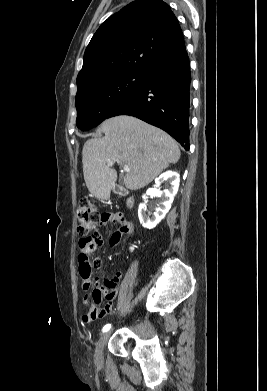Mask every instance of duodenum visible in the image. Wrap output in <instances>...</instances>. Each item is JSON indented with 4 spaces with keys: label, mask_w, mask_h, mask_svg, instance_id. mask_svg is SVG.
I'll list each match as a JSON object with an SVG mask.
<instances>
[{
    "label": "duodenum",
    "mask_w": 267,
    "mask_h": 391,
    "mask_svg": "<svg viewBox=\"0 0 267 391\" xmlns=\"http://www.w3.org/2000/svg\"><path fill=\"white\" fill-rule=\"evenodd\" d=\"M114 192L117 194H120V195H126V190L119 185L114 186ZM132 205H133V200L131 198H129L127 200V206L131 207Z\"/></svg>",
    "instance_id": "410a0bca"
}]
</instances>
